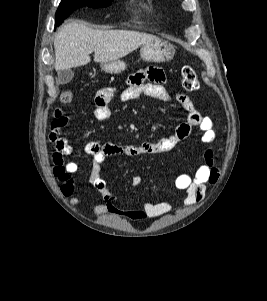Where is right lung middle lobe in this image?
Returning a JSON list of instances; mask_svg holds the SVG:
<instances>
[{
	"mask_svg": "<svg viewBox=\"0 0 267 301\" xmlns=\"http://www.w3.org/2000/svg\"><path fill=\"white\" fill-rule=\"evenodd\" d=\"M113 0H61L55 15V25H60L73 11L82 7H100L111 3Z\"/></svg>",
	"mask_w": 267,
	"mask_h": 301,
	"instance_id": "1",
	"label": "right lung middle lobe"
}]
</instances>
